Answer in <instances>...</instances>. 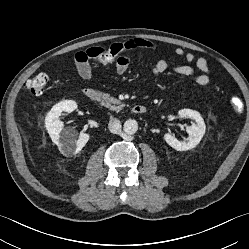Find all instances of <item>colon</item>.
<instances>
[{
	"label": "colon",
	"instance_id": "colon-1",
	"mask_svg": "<svg viewBox=\"0 0 249 249\" xmlns=\"http://www.w3.org/2000/svg\"><path fill=\"white\" fill-rule=\"evenodd\" d=\"M136 47L134 43H125V44H112L107 48L92 49L89 51L88 58L100 63H107L118 58L122 53L131 51ZM48 84V76L45 73H39L34 77L30 78L27 83V89L36 95L44 93ZM229 106L232 111L236 113L242 112L244 108L243 100L237 96L232 95L229 99Z\"/></svg>",
	"mask_w": 249,
	"mask_h": 249
}]
</instances>
